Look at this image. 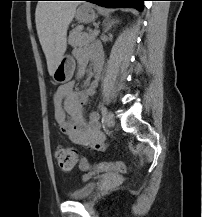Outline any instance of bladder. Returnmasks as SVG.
<instances>
[{"label": "bladder", "instance_id": "1", "mask_svg": "<svg viewBox=\"0 0 202 217\" xmlns=\"http://www.w3.org/2000/svg\"><path fill=\"white\" fill-rule=\"evenodd\" d=\"M108 179H115V175H108ZM98 188L97 184L86 183L80 189L69 194V197L74 202H83L90 199Z\"/></svg>", "mask_w": 202, "mask_h": 217}]
</instances>
